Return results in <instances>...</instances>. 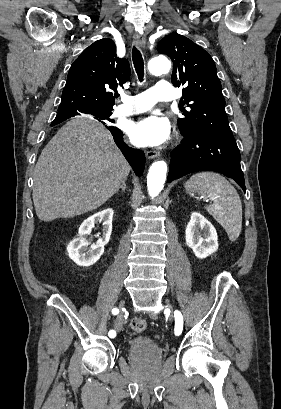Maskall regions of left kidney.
Segmentation results:
<instances>
[{
	"instance_id": "5707ae66",
	"label": "left kidney",
	"mask_w": 281,
	"mask_h": 409,
	"mask_svg": "<svg viewBox=\"0 0 281 409\" xmlns=\"http://www.w3.org/2000/svg\"><path fill=\"white\" fill-rule=\"evenodd\" d=\"M185 239L187 247L194 251L198 259H205L218 249L216 229L199 211H193L186 227Z\"/></svg>"
}]
</instances>
